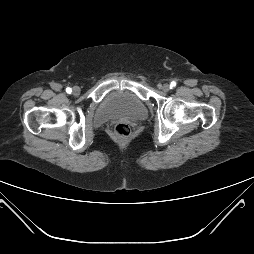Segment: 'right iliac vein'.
I'll return each instance as SVG.
<instances>
[{"mask_svg":"<svg viewBox=\"0 0 254 254\" xmlns=\"http://www.w3.org/2000/svg\"><path fill=\"white\" fill-rule=\"evenodd\" d=\"M80 92H81V89H80L78 86H75V87L73 88V94H74L75 96H78V95L80 94Z\"/></svg>","mask_w":254,"mask_h":254,"instance_id":"63e3f726","label":"right iliac vein"}]
</instances>
